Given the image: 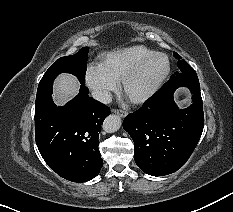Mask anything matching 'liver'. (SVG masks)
<instances>
[{
	"label": "liver",
	"mask_w": 233,
	"mask_h": 212,
	"mask_svg": "<svg viewBox=\"0 0 233 212\" xmlns=\"http://www.w3.org/2000/svg\"><path fill=\"white\" fill-rule=\"evenodd\" d=\"M79 83L77 79L70 74H61L54 83L55 103L64 105L67 101L77 95Z\"/></svg>",
	"instance_id": "obj_1"
}]
</instances>
